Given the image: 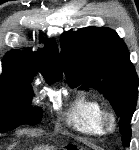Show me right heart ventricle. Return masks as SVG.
<instances>
[{"instance_id": "1", "label": "right heart ventricle", "mask_w": 139, "mask_h": 150, "mask_svg": "<svg viewBox=\"0 0 139 150\" xmlns=\"http://www.w3.org/2000/svg\"><path fill=\"white\" fill-rule=\"evenodd\" d=\"M102 111L103 107L97 99L82 94L71 103L66 120L69 126L81 133L101 136L103 134L100 124Z\"/></svg>"}]
</instances>
